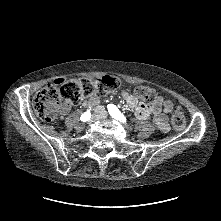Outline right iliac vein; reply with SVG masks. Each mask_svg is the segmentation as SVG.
<instances>
[{
  "label": "right iliac vein",
  "mask_w": 221,
  "mask_h": 221,
  "mask_svg": "<svg viewBox=\"0 0 221 221\" xmlns=\"http://www.w3.org/2000/svg\"><path fill=\"white\" fill-rule=\"evenodd\" d=\"M77 129L79 130V131H81V130H83L84 129V124H79L78 126H77Z\"/></svg>",
  "instance_id": "obj_1"
}]
</instances>
